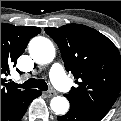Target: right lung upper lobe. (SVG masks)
Returning <instances> with one entry per match:
<instances>
[{
	"instance_id": "right-lung-upper-lobe-1",
	"label": "right lung upper lobe",
	"mask_w": 121,
	"mask_h": 121,
	"mask_svg": "<svg viewBox=\"0 0 121 121\" xmlns=\"http://www.w3.org/2000/svg\"><path fill=\"white\" fill-rule=\"evenodd\" d=\"M40 31L38 27L1 23V75H7L10 66H16L17 58L22 55L29 40ZM4 82L1 78V112L28 91L8 87Z\"/></svg>"
}]
</instances>
